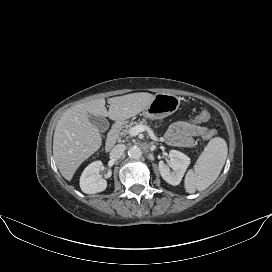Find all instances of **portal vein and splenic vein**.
Wrapping results in <instances>:
<instances>
[{
  "label": "portal vein and splenic vein",
  "instance_id": "1",
  "mask_svg": "<svg viewBox=\"0 0 272 272\" xmlns=\"http://www.w3.org/2000/svg\"><path fill=\"white\" fill-rule=\"evenodd\" d=\"M143 131H144V126L143 125L134 126V127H132V129L130 131V135L131 136H136L140 132H143Z\"/></svg>",
  "mask_w": 272,
  "mask_h": 272
}]
</instances>
